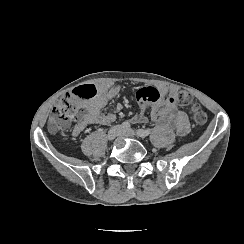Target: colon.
Here are the masks:
<instances>
[{
  "instance_id": "obj_1",
  "label": "colon",
  "mask_w": 244,
  "mask_h": 244,
  "mask_svg": "<svg viewBox=\"0 0 244 244\" xmlns=\"http://www.w3.org/2000/svg\"><path fill=\"white\" fill-rule=\"evenodd\" d=\"M98 93V88L95 85L85 86L78 85L73 89L72 96L75 99L83 97L95 96ZM172 101L178 105L190 108L192 122L195 126H203L207 122V115L204 110L198 105L193 97L186 91L178 90L172 97ZM79 110L73 103L69 94L59 98L53 106L52 114L49 118V128L53 131H62L67 129L78 115Z\"/></svg>"
}]
</instances>
